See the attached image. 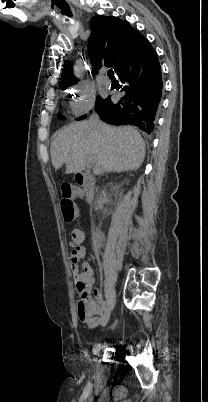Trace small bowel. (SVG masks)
Masks as SVG:
<instances>
[{"mask_svg":"<svg viewBox=\"0 0 208 402\" xmlns=\"http://www.w3.org/2000/svg\"><path fill=\"white\" fill-rule=\"evenodd\" d=\"M79 240L84 244L88 239L83 235ZM71 269L78 294L89 300V294L87 292L94 284V273L91 265L88 262H84L82 267L71 266ZM95 294L97 295V299L90 301V305L95 312V317L90 319L87 315H79L77 318V321L81 324L83 330H96L98 329L99 324H103L106 321V314L101 306V301L104 300V296L102 293H98L97 291H95Z\"/></svg>","mask_w":208,"mask_h":402,"instance_id":"obj_1","label":"small bowel"}]
</instances>
